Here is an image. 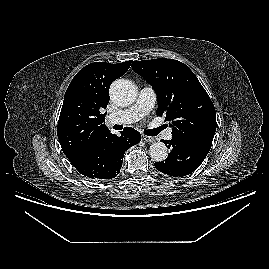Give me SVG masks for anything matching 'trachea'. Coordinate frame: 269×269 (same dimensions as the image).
<instances>
[{"label":"trachea","mask_w":269,"mask_h":269,"mask_svg":"<svg viewBox=\"0 0 269 269\" xmlns=\"http://www.w3.org/2000/svg\"><path fill=\"white\" fill-rule=\"evenodd\" d=\"M165 128L166 126L162 125L156 129L145 130V134L148 136H156L159 134L160 131L164 130Z\"/></svg>","instance_id":"1"}]
</instances>
